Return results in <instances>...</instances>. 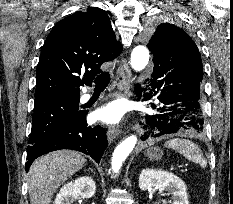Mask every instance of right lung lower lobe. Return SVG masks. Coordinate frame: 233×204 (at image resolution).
<instances>
[{
	"label": "right lung lower lobe",
	"instance_id": "98d812e1",
	"mask_svg": "<svg viewBox=\"0 0 233 204\" xmlns=\"http://www.w3.org/2000/svg\"><path fill=\"white\" fill-rule=\"evenodd\" d=\"M86 111H80L70 121L27 149L26 172L39 156L60 149H72L90 155L97 163L108 144L106 130L87 126Z\"/></svg>",
	"mask_w": 233,
	"mask_h": 204
}]
</instances>
